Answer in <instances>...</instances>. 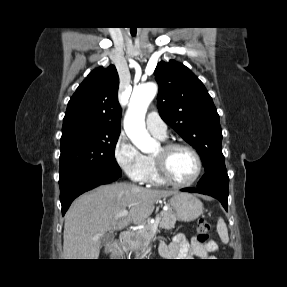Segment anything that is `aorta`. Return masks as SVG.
<instances>
[{
    "label": "aorta",
    "mask_w": 287,
    "mask_h": 287,
    "mask_svg": "<svg viewBox=\"0 0 287 287\" xmlns=\"http://www.w3.org/2000/svg\"><path fill=\"white\" fill-rule=\"evenodd\" d=\"M157 94V85L147 83L133 89L124 117V129L132 143L142 152L150 153L158 145L145 126V115L151 101Z\"/></svg>",
    "instance_id": "762f6f07"
}]
</instances>
